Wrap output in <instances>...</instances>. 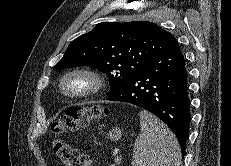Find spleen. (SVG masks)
<instances>
[{
    "mask_svg": "<svg viewBox=\"0 0 231 166\" xmlns=\"http://www.w3.org/2000/svg\"><path fill=\"white\" fill-rule=\"evenodd\" d=\"M141 133L133 147L132 166H179L181 149L173 132L155 115L139 113Z\"/></svg>",
    "mask_w": 231,
    "mask_h": 166,
    "instance_id": "obj_1",
    "label": "spleen"
}]
</instances>
